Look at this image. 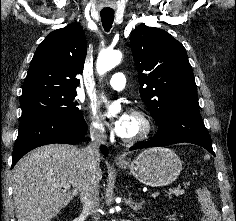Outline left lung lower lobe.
Listing matches in <instances>:
<instances>
[{
    "label": "left lung lower lobe",
    "instance_id": "1",
    "mask_svg": "<svg viewBox=\"0 0 236 221\" xmlns=\"http://www.w3.org/2000/svg\"><path fill=\"white\" fill-rule=\"evenodd\" d=\"M158 127V132L152 140L131 147L130 150L188 142L204 147L215 156L211 137L199 111L177 110L170 112Z\"/></svg>",
    "mask_w": 236,
    "mask_h": 221
}]
</instances>
